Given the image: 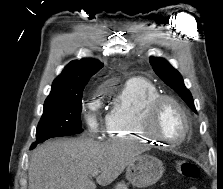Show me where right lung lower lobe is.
Here are the masks:
<instances>
[{"instance_id": "right-lung-lower-lobe-1", "label": "right lung lower lobe", "mask_w": 223, "mask_h": 189, "mask_svg": "<svg viewBox=\"0 0 223 189\" xmlns=\"http://www.w3.org/2000/svg\"><path fill=\"white\" fill-rule=\"evenodd\" d=\"M38 143H40V142H35V143H33V144L31 145L30 149H34Z\"/></svg>"}]
</instances>
